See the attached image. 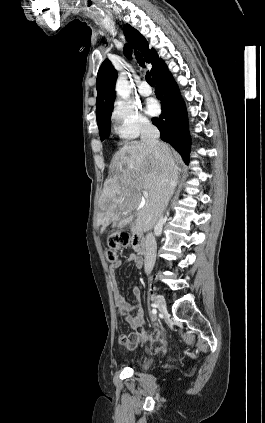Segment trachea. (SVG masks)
Instances as JSON below:
<instances>
[{
    "mask_svg": "<svg viewBox=\"0 0 265 423\" xmlns=\"http://www.w3.org/2000/svg\"><path fill=\"white\" fill-rule=\"evenodd\" d=\"M136 59H137L138 63H139L142 67H145L143 57H142V56H141V54H140V53H138V52H136ZM145 78H146V81L148 82V84H150V85H155V84H154V81L152 80L151 75H150V73H149V72H147V73H146Z\"/></svg>",
    "mask_w": 265,
    "mask_h": 423,
    "instance_id": "3493384b",
    "label": "trachea"
}]
</instances>
